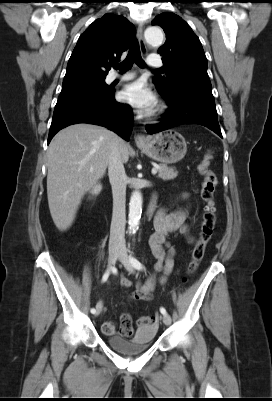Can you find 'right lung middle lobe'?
<instances>
[{
	"label": "right lung middle lobe",
	"mask_w": 272,
	"mask_h": 401,
	"mask_svg": "<svg viewBox=\"0 0 272 401\" xmlns=\"http://www.w3.org/2000/svg\"><path fill=\"white\" fill-rule=\"evenodd\" d=\"M111 91L112 89L106 85L105 80L96 81L76 88L62 90L56 105L72 102L80 98L104 97Z\"/></svg>",
	"instance_id": "right-lung-middle-lobe-1"
}]
</instances>
